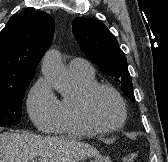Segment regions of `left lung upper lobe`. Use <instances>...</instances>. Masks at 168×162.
I'll return each instance as SVG.
<instances>
[{"label": "left lung upper lobe", "instance_id": "5c2ea615", "mask_svg": "<svg viewBox=\"0 0 168 162\" xmlns=\"http://www.w3.org/2000/svg\"><path fill=\"white\" fill-rule=\"evenodd\" d=\"M73 33L81 50L100 70L121 84L127 97L134 102L133 85L127 69V60L115 36L101 22L76 18L72 23Z\"/></svg>", "mask_w": 168, "mask_h": 162}]
</instances>
